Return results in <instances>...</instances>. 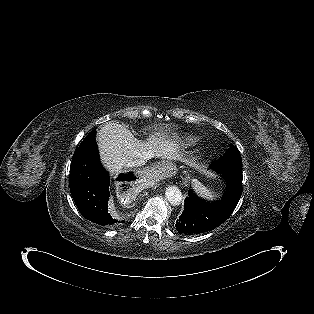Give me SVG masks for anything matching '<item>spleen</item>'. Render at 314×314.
I'll return each instance as SVG.
<instances>
[{"instance_id":"spleen-1","label":"spleen","mask_w":314,"mask_h":314,"mask_svg":"<svg viewBox=\"0 0 314 314\" xmlns=\"http://www.w3.org/2000/svg\"><path fill=\"white\" fill-rule=\"evenodd\" d=\"M192 184L193 188L199 196L207 199H212L214 197V192H212L198 180H193Z\"/></svg>"}]
</instances>
